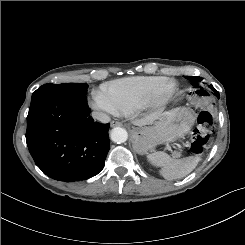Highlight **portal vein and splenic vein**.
<instances>
[{"label":"portal vein and splenic vein","instance_id":"1","mask_svg":"<svg viewBox=\"0 0 245 245\" xmlns=\"http://www.w3.org/2000/svg\"><path fill=\"white\" fill-rule=\"evenodd\" d=\"M167 149H168L169 151H172V149H171V147H170V146H167Z\"/></svg>","mask_w":245,"mask_h":245}]
</instances>
